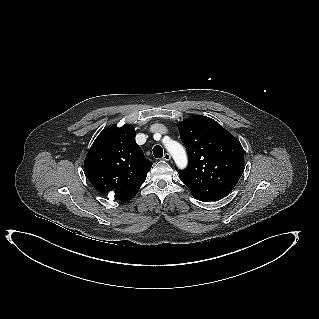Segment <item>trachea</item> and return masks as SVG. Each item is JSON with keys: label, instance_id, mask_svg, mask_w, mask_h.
I'll return each mask as SVG.
<instances>
[{"label": "trachea", "instance_id": "3493384b", "mask_svg": "<svg viewBox=\"0 0 319 319\" xmlns=\"http://www.w3.org/2000/svg\"><path fill=\"white\" fill-rule=\"evenodd\" d=\"M153 154L155 158H161L163 156V149L160 145H156L153 148Z\"/></svg>", "mask_w": 319, "mask_h": 319}]
</instances>
